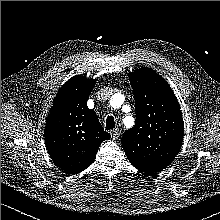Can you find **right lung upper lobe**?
Instances as JSON below:
<instances>
[{"mask_svg":"<svg viewBox=\"0 0 220 220\" xmlns=\"http://www.w3.org/2000/svg\"><path fill=\"white\" fill-rule=\"evenodd\" d=\"M96 80L76 75L54 100L45 126V142L53 162L66 174H77L93 163L104 131L95 111L87 107Z\"/></svg>","mask_w":220,"mask_h":220,"instance_id":"cb5924a9","label":"right lung upper lobe"}]
</instances>
